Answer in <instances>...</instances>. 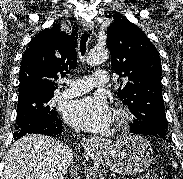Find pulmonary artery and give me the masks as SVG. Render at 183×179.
<instances>
[{"label": "pulmonary artery", "mask_w": 183, "mask_h": 179, "mask_svg": "<svg viewBox=\"0 0 183 179\" xmlns=\"http://www.w3.org/2000/svg\"><path fill=\"white\" fill-rule=\"evenodd\" d=\"M108 82V74L106 71L99 70L92 75L84 76L79 79L68 82L69 88L63 92L64 97H74L88 92L93 87L103 86Z\"/></svg>", "instance_id": "obj_1"}]
</instances>
